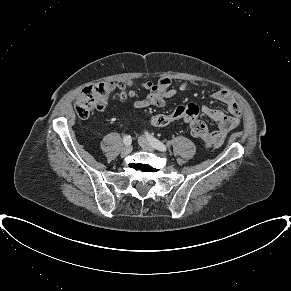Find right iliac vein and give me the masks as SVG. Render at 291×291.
<instances>
[{
    "label": "right iliac vein",
    "instance_id": "obj_1",
    "mask_svg": "<svg viewBox=\"0 0 291 291\" xmlns=\"http://www.w3.org/2000/svg\"><path fill=\"white\" fill-rule=\"evenodd\" d=\"M132 151V146L128 145V146H125L122 151H121V156H127L131 153Z\"/></svg>",
    "mask_w": 291,
    "mask_h": 291
}]
</instances>
